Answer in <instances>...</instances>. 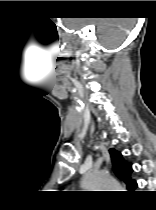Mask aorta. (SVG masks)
I'll use <instances>...</instances> for the list:
<instances>
[{
  "label": "aorta",
  "mask_w": 156,
  "mask_h": 210,
  "mask_svg": "<svg viewBox=\"0 0 156 210\" xmlns=\"http://www.w3.org/2000/svg\"><path fill=\"white\" fill-rule=\"evenodd\" d=\"M82 187L90 191H120L121 186L111 176L101 172H88L82 177Z\"/></svg>",
  "instance_id": "obj_1"
}]
</instances>
